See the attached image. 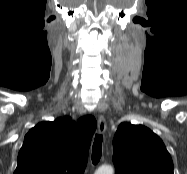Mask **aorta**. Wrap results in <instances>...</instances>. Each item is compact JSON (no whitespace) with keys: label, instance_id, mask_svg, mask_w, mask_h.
Here are the masks:
<instances>
[{"label":"aorta","instance_id":"1","mask_svg":"<svg viewBox=\"0 0 187 174\" xmlns=\"http://www.w3.org/2000/svg\"><path fill=\"white\" fill-rule=\"evenodd\" d=\"M95 174H114V170L110 165L101 166Z\"/></svg>","mask_w":187,"mask_h":174}]
</instances>
